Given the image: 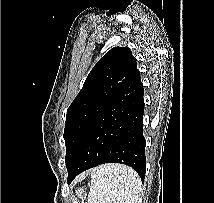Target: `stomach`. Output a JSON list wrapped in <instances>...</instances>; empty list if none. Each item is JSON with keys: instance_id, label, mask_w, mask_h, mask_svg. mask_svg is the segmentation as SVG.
Masks as SVG:
<instances>
[{"instance_id": "1", "label": "stomach", "mask_w": 214, "mask_h": 203, "mask_svg": "<svg viewBox=\"0 0 214 203\" xmlns=\"http://www.w3.org/2000/svg\"><path fill=\"white\" fill-rule=\"evenodd\" d=\"M86 198V192L83 188H79L75 191V199L81 201V203H84V200Z\"/></svg>"}]
</instances>
